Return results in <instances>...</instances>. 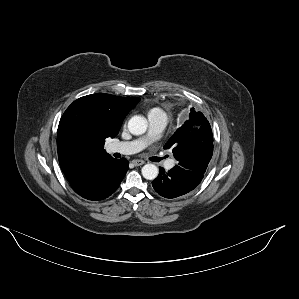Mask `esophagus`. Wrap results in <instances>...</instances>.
<instances>
[{"mask_svg":"<svg viewBox=\"0 0 299 299\" xmlns=\"http://www.w3.org/2000/svg\"><path fill=\"white\" fill-rule=\"evenodd\" d=\"M132 163L135 165V166H141L143 165L145 162L143 160H139V159H134L132 161Z\"/></svg>","mask_w":299,"mask_h":299,"instance_id":"obj_1","label":"esophagus"}]
</instances>
